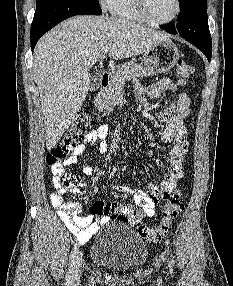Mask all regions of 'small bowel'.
Listing matches in <instances>:
<instances>
[{"mask_svg": "<svg viewBox=\"0 0 233 286\" xmlns=\"http://www.w3.org/2000/svg\"><path fill=\"white\" fill-rule=\"evenodd\" d=\"M134 88L137 96L145 95L150 99H158L165 91H172L177 94L175 103L156 114V118L166 124L160 134V139L165 143H174L170 152V168L164 179L159 185L149 183L147 189L133 188L124 184L115 186V190L132 196L133 206L138 207L142 214L151 217L154 215V208L158 201L169 197L175 189L176 183L183 175L182 165L188 152V131L184 122L190 112V98L186 93L179 92L176 84L170 79H164L150 86L135 84ZM108 135L109 128L105 124H100L95 129L90 130L83 137L81 143L75 146L71 156L61 162L59 167L63 169V166L77 163L78 156L84 152L85 147L97 141H100V153L105 154L108 150L106 141ZM83 172L92 175L94 169L84 164ZM54 175V190L50 194L51 204L79 243L84 244L89 241L98 232L99 228L112 218L131 223L129 210L132 206L115 202L97 201L91 206L89 215L79 216L82 205L78 202L64 201L66 190L61 186L58 176L55 173Z\"/></svg>", "mask_w": 233, "mask_h": 286, "instance_id": "obj_1", "label": "small bowel"}]
</instances>
